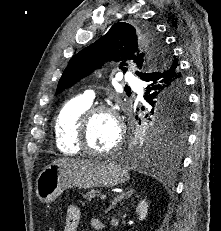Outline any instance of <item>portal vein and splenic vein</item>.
I'll return each instance as SVG.
<instances>
[{"label": "portal vein and splenic vein", "instance_id": "obj_1", "mask_svg": "<svg viewBox=\"0 0 221 231\" xmlns=\"http://www.w3.org/2000/svg\"><path fill=\"white\" fill-rule=\"evenodd\" d=\"M99 198H100L101 200H104V199L107 198V195H106V194H100V195H99Z\"/></svg>", "mask_w": 221, "mask_h": 231}]
</instances>
